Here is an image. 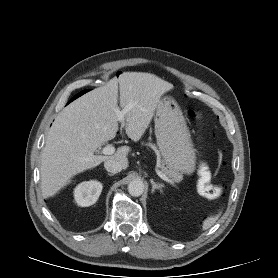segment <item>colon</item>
Returning a JSON list of instances; mask_svg holds the SVG:
<instances>
[{"mask_svg":"<svg viewBox=\"0 0 278 278\" xmlns=\"http://www.w3.org/2000/svg\"><path fill=\"white\" fill-rule=\"evenodd\" d=\"M189 115L193 118H200L201 114L195 110H190ZM201 192L208 198L216 199L223 194L224 187L221 184H213L208 180V170L202 168L200 172Z\"/></svg>","mask_w":278,"mask_h":278,"instance_id":"obj_1","label":"colon"}]
</instances>
